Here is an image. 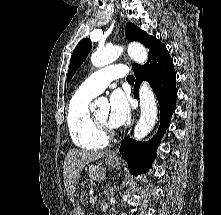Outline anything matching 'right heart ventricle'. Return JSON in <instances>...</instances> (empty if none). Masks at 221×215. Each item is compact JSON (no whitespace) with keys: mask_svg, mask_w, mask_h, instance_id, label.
Here are the masks:
<instances>
[{"mask_svg":"<svg viewBox=\"0 0 221 215\" xmlns=\"http://www.w3.org/2000/svg\"><path fill=\"white\" fill-rule=\"evenodd\" d=\"M94 95L78 89L70 98L67 106V128L72 142L87 150L102 149L107 138L99 130L89 105Z\"/></svg>","mask_w":221,"mask_h":215,"instance_id":"e07e8e85","label":"right heart ventricle"}]
</instances>
